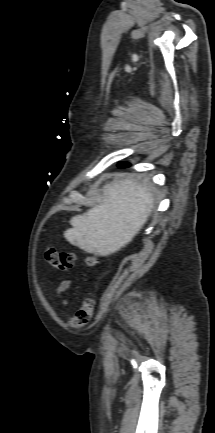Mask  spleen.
Segmentation results:
<instances>
[{
	"label": "spleen",
	"instance_id": "spleen-1",
	"mask_svg": "<svg viewBox=\"0 0 215 433\" xmlns=\"http://www.w3.org/2000/svg\"><path fill=\"white\" fill-rule=\"evenodd\" d=\"M105 200L70 220L64 236L73 245L106 256L125 246L140 231L153 207L151 193L131 180L105 187Z\"/></svg>",
	"mask_w": 215,
	"mask_h": 433
}]
</instances>
